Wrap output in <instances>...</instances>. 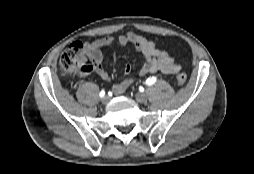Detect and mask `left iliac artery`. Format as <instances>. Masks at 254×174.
<instances>
[{
    "mask_svg": "<svg viewBox=\"0 0 254 174\" xmlns=\"http://www.w3.org/2000/svg\"><path fill=\"white\" fill-rule=\"evenodd\" d=\"M156 82V77H150L146 80L147 85H153Z\"/></svg>",
    "mask_w": 254,
    "mask_h": 174,
    "instance_id": "44dca946",
    "label": "left iliac artery"
}]
</instances>
